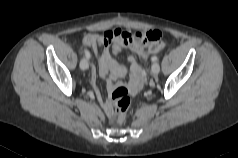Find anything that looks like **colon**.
Wrapping results in <instances>:
<instances>
[{
	"mask_svg": "<svg viewBox=\"0 0 238 158\" xmlns=\"http://www.w3.org/2000/svg\"><path fill=\"white\" fill-rule=\"evenodd\" d=\"M147 39L151 42L149 48L141 53V58L146 61L150 54L158 52L163 43L159 33H152L147 35ZM111 108L108 117L111 123L121 124L124 122L126 113L131 105V98L127 88L123 85L115 86L111 91Z\"/></svg>",
	"mask_w": 238,
	"mask_h": 158,
	"instance_id": "1",
	"label": "colon"
}]
</instances>
